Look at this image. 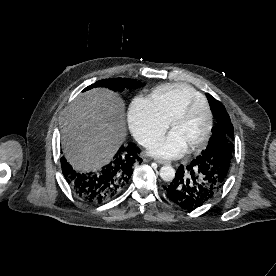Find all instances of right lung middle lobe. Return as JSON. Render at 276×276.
<instances>
[{"label": "right lung middle lobe", "instance_id": "obj_1", "mask_svg": "<svg viewBox=\"0 0 276 276\" xmlns=\"http://www.w3.org/2000/svg\"><path fill=\"white\" fill-rule=\"evenodd\" d=\"M142 84L135 79L128 78H115V79H105L100 80L88 87H86L83 91H87L96 87H106L114 91H122L125 88L127 89H135L140 87Z\"/></svg>", "mask_w": 276, "mask_h": 276}]
</instances>
